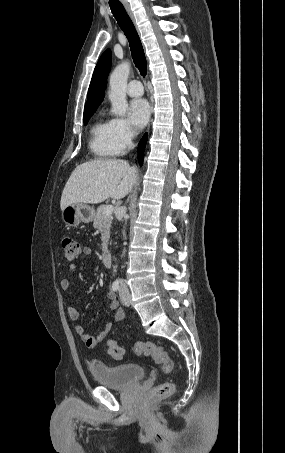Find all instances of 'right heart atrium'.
<instances>
[{
    "label": "right heart atrium",
    "mask_w": 285,
    "mask_h": 453,
    "mask_svg": "<svg viewBox=\"0 0 285 453\" xmlns=\"http://www.w3.org/2000/svg\"><path fill=\"white\" fill-rule=\"evenodd\" d=\"M110 122L116 152L117 154H121L132 144L135 136L134 130L123 118H114Z\"/></svg>",
    "instance_id": "obj_1"
}]
</instances>
